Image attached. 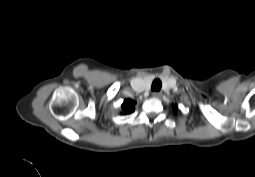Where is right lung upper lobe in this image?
Listing matches in <instances>:
<instances>
[{
	"mask_svg": "<svg viewBox=\"0 0 255 177\" xmlns=\"http://www.w3.org/2000/svg\"><path fill=\"white\" fill-rule=\"evenodd\" d=\"M136 104L135 101L131 100V99H125L123 104L121 105L122 108V112L121 114H131L132 112H134L135 108L134 105Z\"/></svg>",
	"mask_w": 255,
	"mask_h": 177,
	"instance_id": "obj_1",
	"label": "right lung upper lobe"
}]
</instances>
